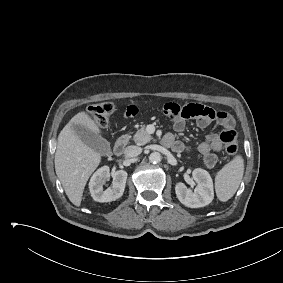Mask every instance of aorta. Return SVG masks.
<instances>
[{"label":"aorta","mask_w":283,"mask_h":283,"mask_svg":"<svg viewBox=\"0 0 283 283\" xmlns=\"http://www.w3.org/2000/svg\"><path fill=\"white\" fill-rule=\"evenodd\" d=\"M162 159V156L159 152H152L150 155H149V161L151 163H158L160 162Z\"/></svg>","instance_id":"762f6f07"}]
</instances>
